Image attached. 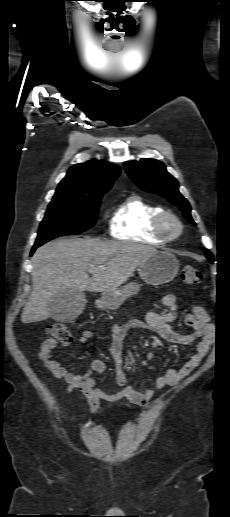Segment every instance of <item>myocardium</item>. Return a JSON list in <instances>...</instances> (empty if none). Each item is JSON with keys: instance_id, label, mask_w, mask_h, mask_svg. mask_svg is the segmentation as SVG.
<instances>
[{"instance_id": "f54148a6", "label": "myocardium", "mask_w": 230, "mask_h": 517, "mask_svg": "<svg viewBox=\"0 0 230 517\" xmlns=\"http://www.w3.org/2000/svg\"><path fill=\"white\" fill-rule=\"evenodd\" d=\"M154 230L165 241L176 240L183 232V224L177 215L163 211L154 220Z\"/></svg>"}]
</instances>
